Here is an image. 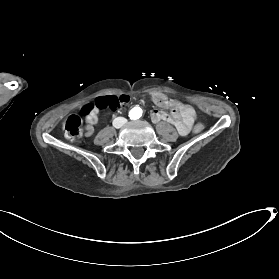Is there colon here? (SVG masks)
<instances>
[{
	"label": "colon",
	"instance_id": "colon-1",
	"mask_svg": "<svg viewBox=\"0 0 279 279\" xmlns=\"http://www.w3.org/2000/svg\"><path fill=\"white\" fill-rule=\"evenodd\" d=\"M130 101L127 95H108L100 96L93 102H89L82 107V113L87 115L91 110H117ZM183 105V104H182ZM183 109L191 114H195L193 108L183 105ZM205 126L202 123L195 124L193 131L198 134L204 130ZM83 121L79 115H70L63 125V134L69 141H79L84 134Z\"/></svg>",
	"mask_w": 279,
	"mask_h": 279
}]
</instances>
